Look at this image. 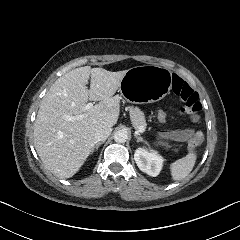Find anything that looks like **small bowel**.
Returning <instances> with one entry per match:
<instances>
[{
	"mask_svg": "<svg viewBox=\"0 0 240 240\" xmlns=\"http://www.w3.org/2000/svg\"><path fill=\"white\" fill-rule=\"evenodd\" d=\"M193 128H185L178 130H165L159 133V138L164 141H181L187 142L190 133L194 132Z\"/></svg>",
	"mask_w": 240,
	"mask_h": 240,
	"instance_id": "1",
	"label": "small bowel"
}]
</instances>
